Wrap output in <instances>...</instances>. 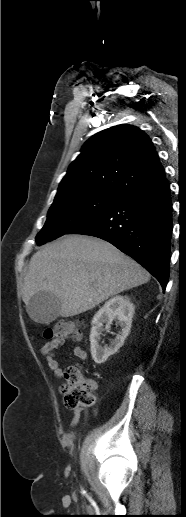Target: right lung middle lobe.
Instances as JSON below:
<instances>
[{
  "instance_id": "right-lung-middle-lobe-1",
  "label": "right lung middle lobe",
  "mask_w": 186,
  "mask_h": 517,
  "mask_svg": "<svg viewBox=\"0 0 186 517\" xmlns=\"http://www.w3.org/2000/svg\"><path fill=\"white\" fill-rule=\"evenodd\" d=\"M119 198L98 194H76L55 198L46 223L36 237V243L41 245L68 234L112 206Z\"/></svg>"
}]
</instances>
